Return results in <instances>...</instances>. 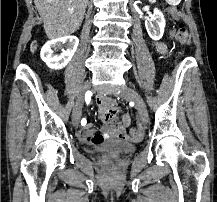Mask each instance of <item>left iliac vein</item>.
I'll list each match as a JSON object with an SVG mask.
<instances>
[{
    "label": "left iliac vein",
    "instance_id": "4c4485c4",
    "mask_svg": "<svg viewBox=\"0 0 217 202\" xmlns=\"http://www.w3.org/2000/svg\"><path fill=\"white\" fill-rule=\"evenodd\" d=\"M121 98L130 99L135 103L136 109L138 110L141 124L147 125L149 121L148 111L146 103L141 95L131 87L125 86L120 91Z\"/></svg>",
    "mask_w": 217,
    "mask_h": 202
}]
</instances>
